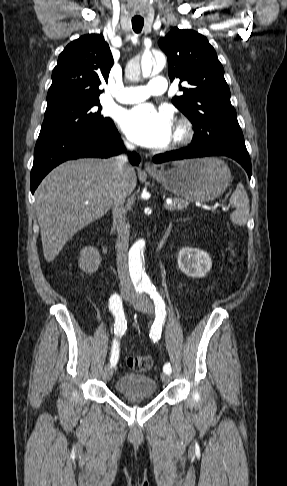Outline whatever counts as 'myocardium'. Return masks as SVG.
<instances>
[{"label": "myocardium", "mask_w": 287, "mask_h": 486, "mask_svg": "<svg viewBox=\"0 0 287 486\" xmlns=\"http://www.w3.org/2000/svg\"><path fill=\"white\" fill-rule=\"evenodd\" d=\"M194 135V129L192 123L185 119H179L176 123L172 142L174 145H184L188 143Z\"/></svg>", "instance_id": "f54148a6"}]
</instances>
